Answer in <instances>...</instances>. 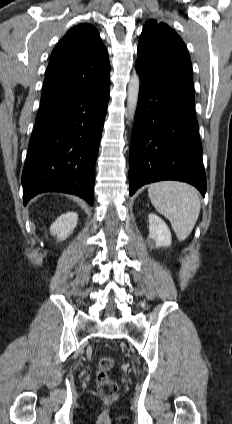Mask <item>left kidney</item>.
I'll return each mask as SVG.
<instances>
[{"label":"left kidney","mask_w":232,"mask_h":424,"mask_svg":"<svg viewBox=\"0 0 232 424\" xmlns=\"http://www.w3.org/2000/svg\"><path fill=\"white\" fill-rule=\"evenodd\" d=\"M149 240L150 248L170 246L171 233L166 223L154 213L149 214Z\"/></svg>","instance_id":"5707ae66"}]
</instances>
